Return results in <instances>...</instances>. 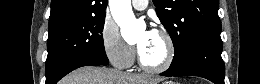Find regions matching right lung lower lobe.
I'll return each mask as SVG.
<instances>
[{
  "instance_id": "right-lung-lower-lobe-1",
  "label": "right lung lower lobe",
  "mask_w": 260,
  "mask_h": 84,
  "mask_svg": "<svg viewBox=\"0 0 260 84\" xmlns=\"http://www.w3.org/2000/svg\"><path fill=\"white\" fill-rule=\"evenodd\" d=\"M88 65H91V66H99V65H102V64L97 63V62H92V61H85V62L78 63V64H76V65H73V66L69 67L68 69H66V70L61 74V76H60L58 79L55 80V82H54L53 84L57 83V81H59L62 77H64V76H65L66 74H68L69 72H71V71H73V70H75V69H77V68H79V67L88 66Z\"/></svg>"
}]
</instances>
